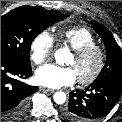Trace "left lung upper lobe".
<instances>
[{
  "mask_svg": "<svg viewBox=\"0 0 122 122\" xmlns=\"http://www.w3.org/2000/svg\"><path fill=\"white\" fill-rule=\"evenodd\" d=\"M94 30L102 38L106 53V63L93 83L104 82L111 79L122 80V50L114 39L112 33L97 21H91Z\"/></svg>",
  "mask_w": 122,
  "mask_h": 122,
  "instance_id": "obj_1",
  "label": "left lung upper lobe"
}]
</instances>
